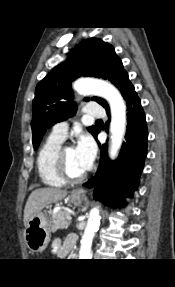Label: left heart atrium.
<instances>
[{"label": "left heart atrium", "instance_id": "obj_1", "mask_svg": "<svg viewBox=\"0 0 175 287\" xmlns=\"http://www.w3.org/2000/svg\"><path fill=\"white\" fill-rule=\"evenodd\" d=\"M76 153L83 165L88 170L96 157V145L89 135H81L75 146Z\"/></svg>", "mask_w": 175, "mask_h": 287}]
</instances>
